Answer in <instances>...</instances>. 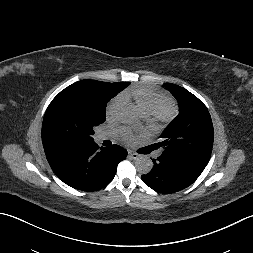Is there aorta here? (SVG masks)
Returning a JSON list of instances; mask_svg holds the SVG:
<instances>
[{
  "label": "aorta",
  "mask_w": 253,
  "mask_h": 253,
  "mask_svg": "<svg viewBox=\"0 0 253 253\" xmlns=\"http://www.w3.org/2000/svg\"><path fill=\"white\" fill-rule=\"evenodd\" d=\"M139 117V109L131 103L123 105L119 111V119L123 123H134ZM135 167L139 173L147 174L152 170L153 162L148 156L142 155L136 159Z\"/></svg>",
  "instance_id": "762f6f07"
}]
</instances>
